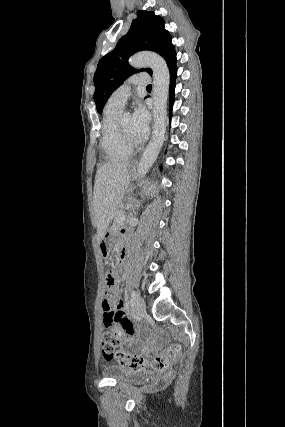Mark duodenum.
<instances>
[{
    "label": "duodenum",
    "instance_id": "1",
    "mask_svg": "<svg viewBox=\"0 0 285 427\" xmlns=\"http://www.w3.org/2000/svg\"><path fill=\"white\" fill-rule=\"evenodd\" d=\"M127 249H128V247H127L126 244L122 243V244L119 245V248H118V257L120 259H122V258L125 257V255L127 253Z\"/></svg>",
    "mask_w": 285,
    "mask_h": 427
}]
</instances>
